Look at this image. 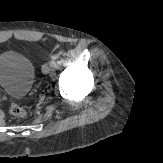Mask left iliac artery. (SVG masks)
Listing matches in <instances>:
<instances>
[{"label": "left iliac artery", "instance_id": "44dca946", "mask_svg": "<svg viewBox=\"0 0 163 163\" xmlns=\"http://www.w3.org/2000/svg\"><path fill=\"white\" fill-rule=\"evenodd\" d=\"M54 60H55V57L53 56L52 60L50 61L51 66H55V61Z\"/></svg>", "mask_w": 163, "mask_h": 163}]
</instances>
